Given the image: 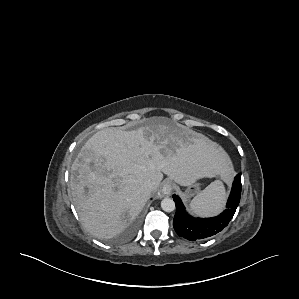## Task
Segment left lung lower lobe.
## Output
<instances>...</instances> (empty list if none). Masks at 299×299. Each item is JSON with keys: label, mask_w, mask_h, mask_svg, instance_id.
<instances>
[{"label": "left lung lower lobe", "mask_w": 299, "mask_h": 299, "mask_svg": "<svg viewBox=\"0 0 299 299\" xmlns=\"http://www.w3.org/2000/svg\"><path fill=\"white\" fill-rule=\"evenodd\" d=\"M241 174L235 176L226 210L214 218H193L185 212L181 199L173 195L176 203V213L173 227L180 237L195 241L209 238L222 231L230 222L240 202Z\"/></svg>", "instance_id": "obj_1"}]
</instances>
